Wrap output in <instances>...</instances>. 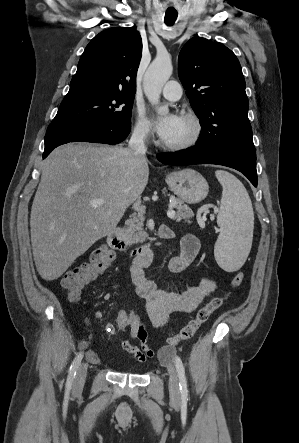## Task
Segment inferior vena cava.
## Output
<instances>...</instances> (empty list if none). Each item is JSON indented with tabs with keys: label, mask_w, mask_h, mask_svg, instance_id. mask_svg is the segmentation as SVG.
<instances>
[{
	"label": "inferior vena cava",
	"mask_w": 299,
	"mask_h": 443,
	"mask_svg": "<svg viewBox=\"0 0 299 443\" xmlns=\"http://www.w3.org/2000/svg\"><path fill=\"white\" fill-rule=\"evenodd\" d=\"M147 132L142 129H136L132 133V136L129 140L128 147L132 150L137 156L142 159H145L146 146H145V138Z\"/></svg>",
	"instance_id": "obj_1"
}]
</instances>
